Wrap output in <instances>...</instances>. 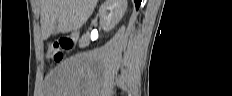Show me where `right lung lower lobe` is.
Listing matches in <instances>:
<instances>
[{"label": "right lung lower lobe", "mask_w": 232, "mask_h": 96, "mask_svg": "<svg viewBox=\"0 0 232 96\" xmlns=\"http://www.w3.org/2000/svg\"><path fill=\"white\" fill-rule=\"evenodd\" d=\"M134 2H135V5H136V9H138L139 6H140L141 0H134Z\"/></svg>", "instance_id": "1"}]
</instances>
